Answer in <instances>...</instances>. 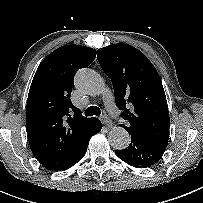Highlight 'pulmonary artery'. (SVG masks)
I'll return each instance as SVG.
<instances>
[{
  "label": "pulmonary artery",
  "instance_id": "1",
  "mask_svg": "<svg viewBox=\"0 0 203 203\" xmlns=\"http://www.w3.org/2000/svg\"><path fill=\"white\" fill-rule=\"evenodd\" d=\"M105 104L109 111H111L112 113H118V111L115 107L114 101H113L112 94L110 92H108L106 95Z\"/></svg>",
  "mask_w": 203,
  "mask_h": 203
}]
</instances>
